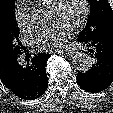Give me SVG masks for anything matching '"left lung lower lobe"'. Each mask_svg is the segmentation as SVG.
<instances>
[{"mask_svg": "<svg viewBox=\"0 0 113 113\" xmlns=\"http://www.w3.org/2000/svg\"><path fill=\"white\" fill-rule=\"evenodd\" d=\"M77 40L82 42L93 64L90 70L77 74V83L85 91L97 93L108 88L113 82V35H85L80 33Z\"/></svg>", "mask_w": 113, "mask_h": 113, "instance_id": "1", "label": "left lung lower lobe"}]
</instances>
